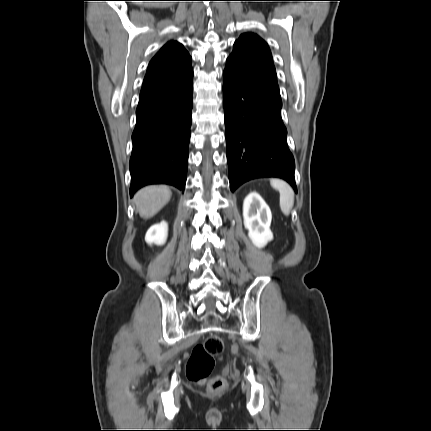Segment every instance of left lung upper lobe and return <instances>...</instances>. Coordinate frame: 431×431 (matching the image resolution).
<instances>
[{
	"mask_svg": "<svg viewBox=\"0 0 431 431\" xmlns=\"http://www.w3.org/2000/svg\"><path fill=\"white\" fill-rule=\"evenodd\" d=\"M226 67L278 86L270 49L256 34L246 33L240 36L226 61Z\"/></svg>",
	"mask_w": 431,
	"mask_h": 431,
	"instance_id": "5c2ea615",
	"label": "left lung upper lobe"
}]
</instances>
